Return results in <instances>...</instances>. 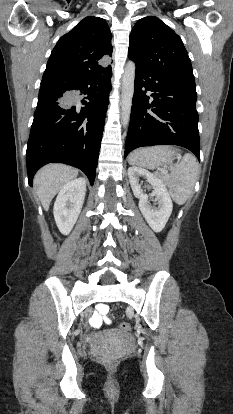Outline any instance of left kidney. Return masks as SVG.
I'll use <instances>...</instances> for the list:
<instances>
[{
	"instance_id": "1",
	"label": "left kidney",
	"mask_w": 233,
	"mask_h": 414,
	"mask_svg": "<svg viewBox=\"0 0 233 414\" xmlns=\"http://www.w3.org/2000/svg\"><path fill=\"white\" fill-rule=\"evenodd\" d=\"M128 176L133 194L139 199V209L145 220L155 232H161L165 227L173 209V203L164 183L149 171L140 167H129ZM146 177L147 182L153 188L148 195L143 192L139 184V177ZM149 197H155L158 207L154 208L149 204Z\"/></svg>"
}]
</instances>
